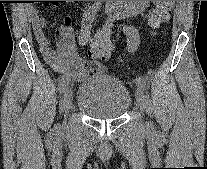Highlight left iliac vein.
I'll return each mask as SVG.
<instances>
[{"instance_id": "4c4485c4", "label": "left iliac vein", "mask_w": 207, "mask_h": 169, "mask_svg": "<svg viewBox=\"0 0 207 169\" xmlns=\"http://www.w3.org/2000/svg\"><path fill=\"white\" fill-rule=\"evenodd\" d=\"M135 97L137 101V105L140 109L144 107L145 96L142 88H137L135 91Z\"/></svg>"}]
</instances>
